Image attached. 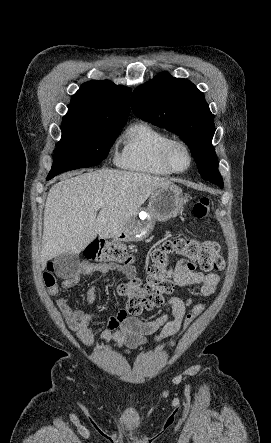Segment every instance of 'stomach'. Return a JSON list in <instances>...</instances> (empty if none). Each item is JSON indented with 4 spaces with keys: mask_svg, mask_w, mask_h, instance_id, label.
Instances as JSON below:
<instances>
[{
    "mask_svg": "<svg viewBox=\"0 0 271 443\" xmlns=\"http://www.w3.org/2000/svg\"><path fill=\"white\" fill-rule=\"evenodd\" d=\"M183 192L179 186H164L152 194L148 208L141 210L137 218H130L123 231L114 235L117 241H141L150 235L155 222L176 218L183 210Z\"/></svg>",
    "mask_w": 271,
    "mask_h": 443,
    "instance_id": "0dacf381",
    "label": "stomach"
}]
</instances>
